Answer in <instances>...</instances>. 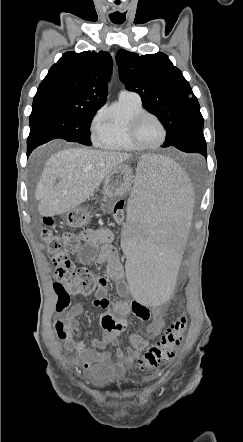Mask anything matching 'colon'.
<instances>
[{
  "label": "colon",
  "instance_id": "5ec220e1",
  "mask_svg": "<svg viewBox=\"0 0 243 442\" xmlns=\"http://www.w3.org/2000/svg\"><path fill=\"white\" fill-rule=\"evenodd\" d=\"M123 204L118 202L115 206L114 217L116 222L123 221ZM44 223L48 226L41 232V238L47 245V250L51 255L54 268V290L57 294L56 308H66L69 299L73 295H88L95 291L98 286L96 276L86 267H76L70 257L80 249V238L71 232L65 233L62 237L55 235L50 227L54 225V220L50 216L43 217ZM183 306H188V301H183ZM188 318L181 314L174 318L166 328L162 336L155 343L151 344L138 359L137 368L139 370L152 369L162 362L170 360L180 346Z\"/></svg>",
  "mask_w": 243,
  "mask_h": 442
}]
</instances>
